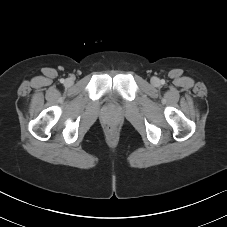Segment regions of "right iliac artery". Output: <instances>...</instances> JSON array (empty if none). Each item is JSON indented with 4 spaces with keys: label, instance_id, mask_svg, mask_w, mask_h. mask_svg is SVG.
Segmentation results:
<instances>
[{
    "label": "right iliac artery",
    "instance_id": "82829eb1",
    "mask_svg": "<svg viewBox=\"0 0 227 227\" xmlns=\"http://www.w3.org/2000/svg\"><path fill=\"white\" fill-rule=\"evenodd\" d=\"M60 82H61V83H64V82H65V80H64V79H61V80H60Z\"/></svg>",
    "mask_w": 227,
    "mask_h": 227
}]
</instances>
